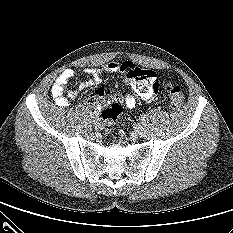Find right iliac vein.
Here are the masks:
<instances>
[{
    "label": "right iliac vein",
    "instance_id": "right-iliac-vein-1",
    "mask_svg": "<svg viewBox=\"0 0 233 233\" xmlns=\"http://www.w3.org/2000/svg\"><path fill=\"white\" fill-rule=\"evenodd\" d=\"M94 126H95L96 129H100L101 128L100 119H95L94 120Z\"/></svg>",
    "mask_w": 233,
    "mask_h": 233
}]
</instances>
